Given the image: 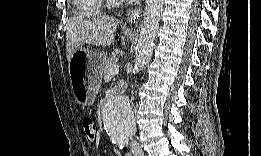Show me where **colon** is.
Wrapping results in <instances>:
<instances>
[{"mask_svg":"<svg viewBox=\"0 0 261 156\" xmlns=\"http://www.w3.org/2000/svg\"><path fill=\"white\" fill-rule=\"evenodd\" d=\"M81 128L88 143H94L97 138V127L93 118L90 116H83L81 119Z\"/></svg>","mask_w":261,"mask_h":156,"instance_id":"obj_1","label":"colon"}]
</instances>
